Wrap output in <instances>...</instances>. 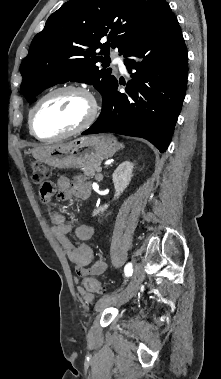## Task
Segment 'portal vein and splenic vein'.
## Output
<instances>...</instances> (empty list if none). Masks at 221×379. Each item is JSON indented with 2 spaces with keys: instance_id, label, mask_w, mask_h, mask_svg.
<instances>
[{
  "instance_id": "18ae733b",
  "label": "portal vein and splenic vein",
  "mask_w": 221,
  "mask_h": 379,
  "mask_svg": "<svg viewBox=\"0 0 221 379\" xmlns=\"http://www.w3.org/2000/svg\"><path fill=\"white\" fill-rule=\"evenodd\" d=\"M101 170H102V169L99 167L97 171H98V172H101Z\"/></svg>"
}]
</instances>
